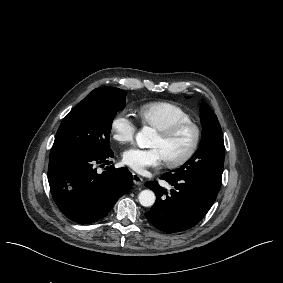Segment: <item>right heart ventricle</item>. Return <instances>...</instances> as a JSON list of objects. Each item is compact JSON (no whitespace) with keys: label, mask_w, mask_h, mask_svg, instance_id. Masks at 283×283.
Returning a JSON list of instances; mask_svg holds the SVG:
<instances>
[{"label":"right heart ventricle","mask_w":283,"mask_h":283,"mask_svg":"<svg viewBox=\"0 0 283 283\" xmlns=\"http://www.w3.org/2000/svg\"><path fill=\"white\" fill-rule=\"evenodd\" d=\"M135 113L145 126L162 132L177 121L190 120L192 117L176 104L158 101L138 106Z\"/></svg>","instance_id":"1"}]
</instances>
